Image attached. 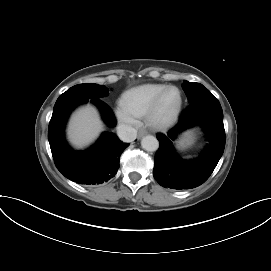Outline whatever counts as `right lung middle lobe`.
Listing matches in <instances>:
<instances>
[{
    "label": "right lung middle lobe",
    "instance_id": "obj_1",
    "mask_svg": "<svg viewBox=\"0 0 271 271\" xmlns=\"http://www.w3.org/2000/svg\"><path fill=\"white\" fill-rule=\"evenodd\" d=\"M108 95V88L97 84H78L66 92L60 95L57 102L64 100H90V99H101Z\"/></svg>",
    "mask_w": 271,
    "mask_h": 271
}]
</instances>
